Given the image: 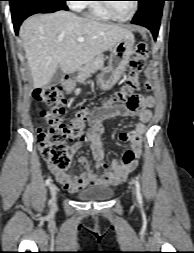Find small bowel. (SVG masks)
Listing matches in <instances>:
<instances>
[{
  "label": "small bowel",
  "instance_id": "1",
  "mask_svg": "<svg viewBox=\"0 0 194 253\" xmlns=\"http://www.w3.org/2000/svg\"><path fill=\"white\" fill-rule=\"evenodd\" d=\"M146 88L149 90L151 86L147 83ZM130 96L127 97L126 104H116L95 110L89 119V128L69 147L70 153L76 154L83 143H89L96 161V172L90 169L89 162L85 157L80 158L81 165L86 169L80 176H75L71 171H58L50 167L64 189L76 192L93 185H117L123 182L136 168L137 159L141 154L142 138L147 130L146 125L152 118L151 109L155 105V99L151 95L143 96L140 93H131ZM115 116H135L138 119L133 130L120 134V140L127 142L129 144L128 151L134 154V160L130 163L113 160L108 164L105 161L102 121Z\"/></svg>",
  "mask_w": 194,
  "mask_h": 253
}]
</instances>
